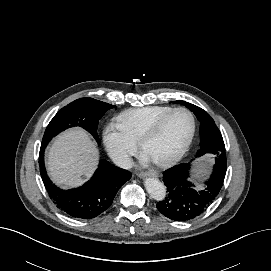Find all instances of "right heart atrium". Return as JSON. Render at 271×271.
<instances>
[{
  "instance_id": "right-heart-atrium-1",
  "label": "right heart atrium",
  "mask_w": 271,
  "mask_h": 271,
  "mask_svg": "<svg viewBox=\"0 0 271 271\" xmlns=\"http://www.w3.org/2000/svg\"><path fill=\"white\" fill-rule=\"evenodd\" d=\"M103 142L110 157L119 165H129L137 154V144L116 124H107L103 130Z\"/></svg>"
}]
</instances>
